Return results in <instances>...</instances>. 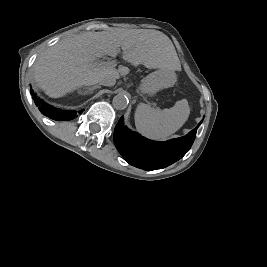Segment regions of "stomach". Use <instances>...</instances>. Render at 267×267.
I'll return each mask as SVG.
<instances>
[{"mask_svg":"<svg viewBox=\"0 0 267 267\" xmlns=\"http://www.w3.org/2000/svg\"><path fill=\"white\" fill-rule=\"evenodd\" d=\"M176 81L173 71L159 69L146 76L140 85V90L144 94L154 95L161 89L171 87Z\"/></svg>","mask_w":267,"mask_h":267,"instance_id":"obj_1","label":"stomach"}]
</instances>
